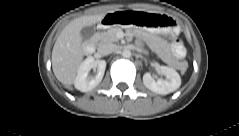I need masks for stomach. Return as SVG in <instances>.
Returning a JSON list of instances; mask_svg holds the SVG:
<instances>
[{"mask_svg": "<svg viewBox=\"0 0 239 136\" xmlns=\"http://www.w3.org/2000/svg\"><path fill=\"white\" fill-rule=\"evenodd\" d=\"M117 22L124 26L144 27L149 33L166 39L175 37L179 32L175 21L164 14L119 11Z\"/></svg>", "mask_w": 239, "mask_h": 136, "instance_id": "0dacf381", "label": "stomach"}]
</instances>
